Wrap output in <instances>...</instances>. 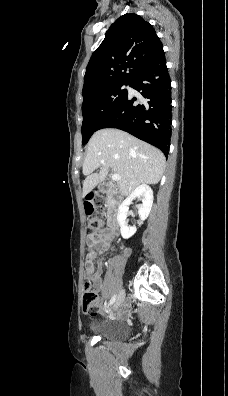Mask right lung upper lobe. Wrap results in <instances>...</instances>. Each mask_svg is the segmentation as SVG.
I'll return each mask as SVG.
<instances>
[{
  "label": "right lung upper lobe",
  "mask_w": 228,
  "mask_h": 396,
  "mask_svg": "<svg viewBox=\"0 0 228 396\" xmlns=\"http://www.w3.org/2000/svg\"><path fill=\"white\" fill-rule=\"evenodd\" d=\"M162 46L153 26L130 13L119 17L93 52L82 94L122 82H132Z\"/></svg>",
  "instance_id": "right-lung-upper-lobe-1"
}]
</instances>
